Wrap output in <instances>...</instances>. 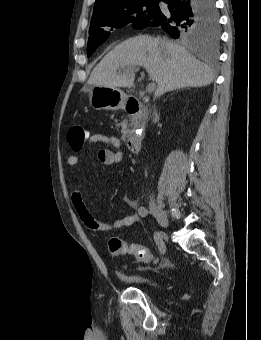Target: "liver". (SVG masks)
Wrapping results in <instances>:
<instances>
[{"label": "liver", "mask_w": 261, "mask_h": 340, "mask_svg": "<svg viewBox=\"0 0 261 340\" xmlns=\"http://www.w3.org/2000/svg\"><path fill=\"white\" fill-rule=\"evenodd\" d=\"M143 66L157 83L155 97L184 87L209 85L214 74L205 63L193 57L184 47L149 35L132 37L111 50L93 69L89 86L125 87L134 85L135 73L130 68Z\"/></svg>", "instance_id": "liver-1"}]
</instances>
